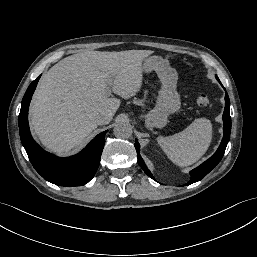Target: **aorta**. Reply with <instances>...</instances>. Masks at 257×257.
Returning a JSON list of instances; mask_svg holds the SVG:
<instances>
[{"label":"aorta","instance_id":"762f6f07","mask_svg":"<svg viewBox=\"0 0 257 257\" xmlns=\"http://www.w3.org/2000/svg\"><path fill=\"white\" fill-rule=\"evenodd\" d=\"M113 132L117 138L127 139L132 135V127L129 122H118Z\"/></svg>","mask_w":257,"mask_h":257}]
</instances>
